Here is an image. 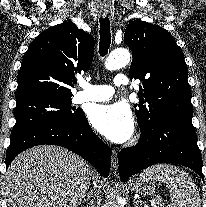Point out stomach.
Returning a JSON list of instances; mask_svg holds the SVG:
<instances>
[{"mask_svg": "<svg viewBox=\"0 0 206 207\" xmlns=\"http://www.w3.org/2000/svg\"><path fill=\"white\" fill-rule=\"evenodd\" d=\"M129 186L135 193L143 195H153L155 193V183L147 178L138 177L130 181Z\"/></svg>", "mask_w": 206, "mask_h": 207, "instance_id": "stomach-1", "label": "stomach"}]
</instances>
